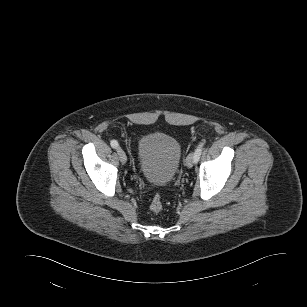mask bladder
<instances>
[{"label":"bladder","instance_id":"bladder-1","mask_svg":"<svg viewBox=\"0 0 307 307\" xmlns=\"http://www.w3.org/2000/svg\"><path fill=\"white\" fill-rule=\"evenodd\" d=\"M182 158L179 142L173 136L154 132L140 138L137 160L144 178L154 186H166L175 177Z\"/></svg>","mask_w":307,"mask_h":307}]
</instances>
